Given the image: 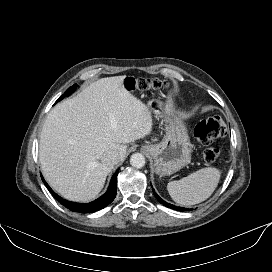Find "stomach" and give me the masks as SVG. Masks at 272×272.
<instances>
[{
    "mask_svg": "<svg viewBox=\"0 0 272 272\" xmlns=\"http://www.w3.org/2000/svg\"><path fill=\"white\" fill-rule=\"evenodd\" d=\"M147 106L157 117L166 113L163 102L158 99L150 100ZM165 130L162 142L142 147L154 159L155 171L161 176L171 175L191 161V144L185 126L179 120H170Z\"/></svg>",
    "mask_w": 272,
    "mask_h": 272,
    "instance_id": "obj_1",
    "label": "stomach"
}]
</instances>
